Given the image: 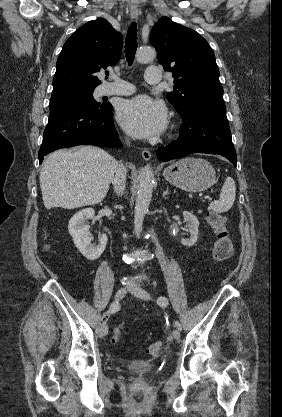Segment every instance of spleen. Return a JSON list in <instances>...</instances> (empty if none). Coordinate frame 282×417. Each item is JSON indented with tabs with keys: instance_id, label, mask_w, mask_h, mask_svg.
<instances>
[{
	"instance_id": "obj_1",
	"label": "spleen",
	"mask_w": 282,
	"mask_h": 417,
	"mask_svg": "<svg viewBox=\"0 0 282 417\" xmlns=\"http://www.w3.org/2000/svg\"><path fill=\"white\" fill-rule=\"evenodd\" d=\"M235 196L236 186L234 178L227 176L221 188L219 200H213V202L210 204V209H212L214 213H226V211L231 209V206L235 200Z\"/></svg>"
}]
</instances>
